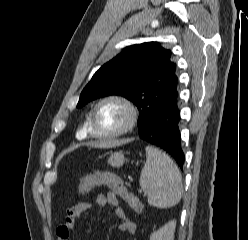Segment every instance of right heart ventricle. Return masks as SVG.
<instances>
[{
	"label": "right heart ventricle",
	"mask_w": 248,
	"mask_h": 240,
	"mask_svg": "<svg viewBox=\"0 0 248 240\" xmlns=\"http://www.w3.org/2000/svg\"><path fill=\"white\" fill-rule=\"evenodd\" d=\"M89 121H90V112L87 113L83 124L81 125V127L79 128V130L77 131V138L79 139H85L90 135L89 132Z\"/></svg>",
	"instance_id": "right-heart-ventricle-1"
}]
</instances>
